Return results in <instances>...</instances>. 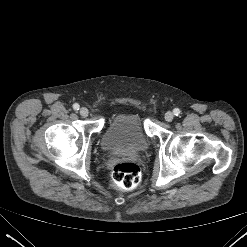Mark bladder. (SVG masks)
Segmentation results:
<instances>
[{"instance_id":"obj_1","label":"bladder","mask_w":247,"mask_h":247,"mask_svg":"<svg viewBox=\"0 0 247 247\" xmlns=\"http://www.w3.org/2000/svg\"><path fill=\"white\" fill-rule=\"evenodd\" d=\"M142 119L135 113L113 117L101 136V147L109 153H139L149 147Z\"/></svg>"}]
</instances>
